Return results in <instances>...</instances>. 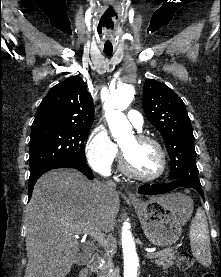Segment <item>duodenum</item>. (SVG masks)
Here are the masks:
<instances>
[{
    "mask_svg": "<svg viewBox=\"0 0 221 277\" xmlns=\"http://www.w3.org/2000/svg\"><path fill=\"white\" fill-rule=\"evenodd\" d=\"M100 265V255L95 253L91 260L88 263L87 271L83 272V275L81 277H86L88 271H96Z\"/></svg>",
    "mask_w": 221,
    "mask_h": 277,
    "instance_id": "obj_1",
    "label": "duodenum"
}]
</instances>
